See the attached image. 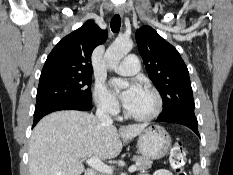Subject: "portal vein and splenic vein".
<instances>
[{
	"label": "portal vein and splenic vein",
	"mask_w": 233,
	"mask_h": 175,
	"mask_svg": "<svg viewBox=\"0 0 233 175\" xmlns=\"http://www.w3.org/2000/svg\"><path fill=\"white\" fill-rule=\"evenodd\" d=\"M86 163L92 167L93 169L106 173V174H111L112 173V168L106 164H104L98 157L92 156L86 160ZM137 169V165H132L129 167L128 171L129 172H134Z\"/></svg>",
	"instance_id": "portal-vein-and-splenic-vein-1"
}]
</instances>
